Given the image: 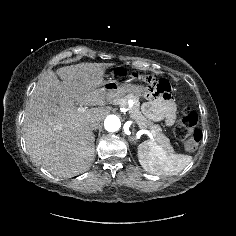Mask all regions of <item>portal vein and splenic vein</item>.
Here are the masks:
<instances>
[{"label": "portal vein and splenic vein", "instance_id": "obj_1", "mask_svg": "<svg viewBox=\"0 0 236 236\" xmlns=\"http://www.w3.org/2000/svg\"><path fill=\"white\" fill-rule=\"evenodd\" d=\"M78 111L79 112H84L86 111V109L82 106L78 107ZM145 134H147L151 139H153V134L150 131H144Z\"/></svg>", "mask_w": 236, "mask_h": 236}]
</instances>
